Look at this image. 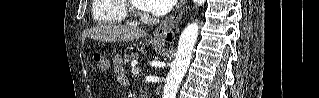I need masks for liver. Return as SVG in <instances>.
<instances>
[{"label": "liver", "mask_w": 319, "mask_h": 98, "mask_svg": "<svg viewBox=\"0 0 319 98\" xmlns=\"http://www.w3.org/2000/svg\"><path fill=\"white\" fill-rule=\"evenodd\" d=\"M146 35L144 30L115 24L99 25L84 32V37L101 42L131 41Z\"/></svg>", "instance_id": "liver-1"}]
</instances>
